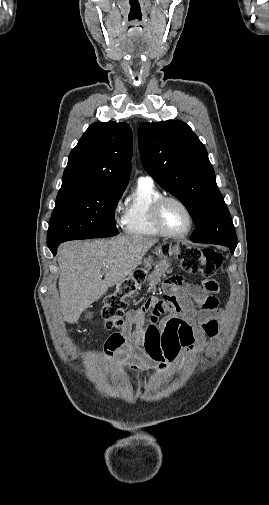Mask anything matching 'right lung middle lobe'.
I'll use <instances>...</instances> for the list:
<instances>
[{
    "label": "right lung middle lobe",
    "mask_w": 269,
    "mask_h": 505,
    "mask_svg": "<svg viewBox=\"0 0 269 505\" xmlns=\"http://www.w3.org/2000/svg\"><path fill=\"white\" fill-rule=\"evenodd\" d=\"M123 191L87 187L60 189L49 223L48 246L117 235L114 212Z\"/></svg>",
    "instance_id": "right-lung-middle-lobe-1"
}]
</instances>
